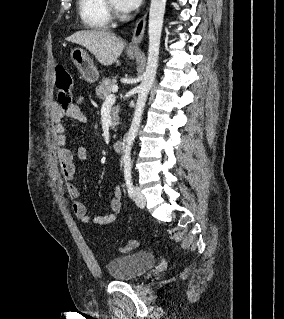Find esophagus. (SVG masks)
<instances>
[{"label": "esophagus", "instance_id": "esophagus-1", "mask_svg": "<svg viewBox=\"0 0 284 319\" xmlns=\"http://www.w3.org/2000/svg\"><path fill=\"white\" fill-rule=\"evenodd\" d=\"M146 16L143 14L135 24V27L132 31V38L127 50L130 52H138L140 50V43L142 42L145 26H146Z\"/></svg>", "mask_w": 284, "mask_h": 319}]
</instances>
